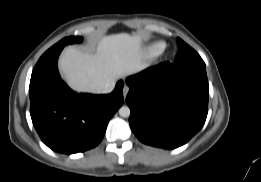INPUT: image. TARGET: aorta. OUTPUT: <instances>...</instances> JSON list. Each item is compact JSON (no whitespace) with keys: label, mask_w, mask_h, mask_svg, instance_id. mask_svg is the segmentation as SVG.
I'll return each instance as SVG.
<instances>
[{"label":"aorta","mask_w":261,"mask_h":182,"mask_svg":"<svg viewBox=\"0 0 261 182\" xmlns=\"http://www.w3.org/2000/svg\"><path fill=\"white\" fill-rule=\"evenodd\" d=\"M119 115L121 116V117H129L130 116V113H131V111H130V108L128 107V106H122L120 109H119Z\"/></svg>","instance_id":"aorta-1"}]
</instances>
